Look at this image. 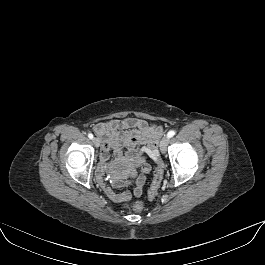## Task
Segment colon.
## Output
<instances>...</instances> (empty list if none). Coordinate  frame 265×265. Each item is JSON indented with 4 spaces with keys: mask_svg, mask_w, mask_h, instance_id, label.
<instances>
[{
    "mask_svg": "<svg viewBox=\"0 0 265 265\" xmlns=\"http://www.w3.org/2000/svg\"><path fill=\"white\" fill-rule=\"evenodd\" d=\"M156 162H157V166H156L155 171H154L151 186H150L148 193H147V197L149 200H153L157 196V193H158V190L160 188L162 178H163V171H162V168L160 166V162H159V160H157ZM143 207H144V205H143V202H141V201H134L131 204V208L134 211H141L143 209Z\"/></svg>",
    "mask_w": 265,
    "mask_h": 265,
    "instance_id": "obj_1",
    "label": "colon"
}]
</instances>
